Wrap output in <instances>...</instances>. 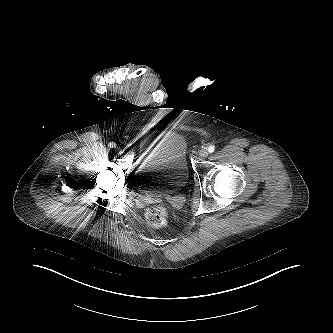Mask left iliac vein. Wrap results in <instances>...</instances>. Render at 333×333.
<instances>
[{"label":"left iliac vein","instance_id":"obj_1","mask_svg":"<svg viewBox=\"0 0 333 333\" xmlns=\"http://www.w3.org/2000/svg\"><path fill=\"white\" fill-rule=\"evenodd\" d=\"M199 156H200L201 158H205V157H207V156H208V150H207V149H201V150L199 151Z\"/></svg>","mask_w":333,"mask_h":333}]
</instances>
